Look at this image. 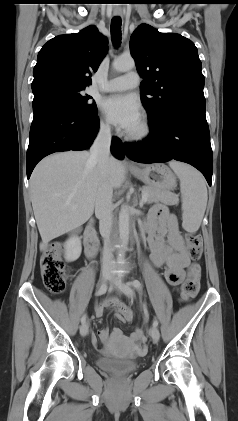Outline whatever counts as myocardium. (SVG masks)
<instances>
[{
    "label": "myocardium",
    "instance_id": "myocardium-1",
    "mask_svg": "<svg viewBox=\"0 0 238 421\" xmlns=\"http://www.w3.org/2000/svg\"><path fill=\"white\" fill-rule=\"evenodd\" d=\"M151 133L150 124L147 119L140 121L139 130L137 132H127L126 138L131 142H142L145 141Z\"/></svg>",
    "mask_w": 238,
    "mask_h": 421
}]
</instances>
